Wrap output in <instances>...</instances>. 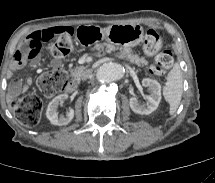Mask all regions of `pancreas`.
Masks as SVG:
<instances>
[{"label": "pancreas", "mask_w": 215, "mask_h": 183, "mask_svg": "<svg viewBox=\"0 0 215 183\" xmlns=\"http://www.w3.org/2000/svg\"><path fill=\"white\" fill-rule=\"evenodd\" d=\"M104 47L108 50H117L119 49L118 47H115L111 44L108 43H100V44H96L92 49L93 50H103ZM120 53H119V58L123 59V60H127L133 64H136L138 66H147L148 65V61L145 60V58H140L138 55H134L132 53V50L130 48H120ZM86 69V67L84 66H76L74 69L70 70V74L72 77L74 78H79L82 74V72Z\"/></svg>", "instance_id": "1"}]
</instances>
